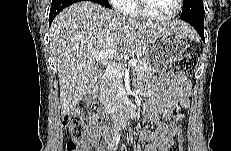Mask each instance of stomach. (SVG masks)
<instances>
[{"mask_svg": "<svg viewBox=\"0 0 231 151\" xmlns=\"http://www.w3.org/2000/svg\"><path fill=\"white\" fill-rule=\"evenodd\" d=\"M188 47L189 44L184 34L168 29L148 46L143 53V58L153 73L162 72L179 60Z\"/></svg>", "mask_w": 231, "mask_h": 151, "instance_id": "stomach-1", "label": "stomach"}]
</instances>
